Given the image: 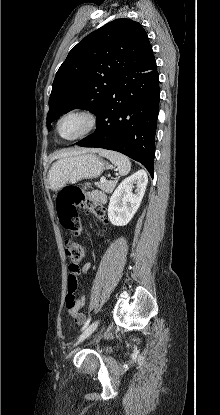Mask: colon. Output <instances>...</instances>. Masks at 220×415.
<instances>
[{"instance_id":"5ec220e1","label":"colon","mask_w":220,"mask_h":415,"mask_svg":"<svg viewBox=\"0 0 220 415\" xmlns=\"http://www.w3.org/2000/svg\"><path fill=\"white\" fill-rule=\"evenodd\" d=\"M86 202L82 191L76 186H66L59 192L56 200V209L61 225L75 234L82 233V224L77 213V205ZM93 212L97 217L105 215V209L101 205H95ZM65 253L71 260L69 266L68 288L66 296V305L72 306L76 301L78 291V277L80 274L79 263L84 257L83 247L74 241L67 240L65 242Z\"/></svg>"}]
</instances>
